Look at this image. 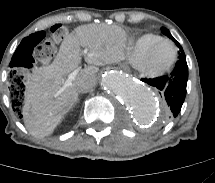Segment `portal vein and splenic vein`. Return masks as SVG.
<instances>
[{
	"mask_svg": "<svg viewBox=\"0 0 215 183\" xmlns=\"http://www.w3.org/2000/svg\"><path fill=\"white\" fill-rule=\"evenodd\" d=\"M82 54L85 55V56L88 55V49L85 48V49L82 51ZM78 72H79V69H76V70H74L73 72H71V73L68 75V78H67L66 81L63 83V86L60 88V90L57 92V94L62 93L67 87H69V86L72 85V81L76 78Z\"/></svg>",
	"mask_w": 215,
	"mask_h": 183,
	"instance_id": "obj_1",
	"label": "portal vein and splenic vein"
}]
</instances>
